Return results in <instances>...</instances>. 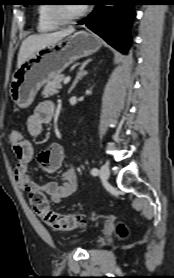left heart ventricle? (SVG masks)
Instances as JSON below:
<instances>
[{"mask_svg": "<svg viewBox=\"0 0 174 278\" xmlns=\"http://www.w3.org/2000/svg\"><path fill=\"white\" fill-rule=\"evenodd\" d=\"M83 8L82 5H67L64 7L65 12L67 14H76L77 12H79L81 9Z\"/></svg>", "mask_w": 174, "mask_h": 278, "instance_id": "obj_1", "label": "left heart ventricle"}]
</instances>
